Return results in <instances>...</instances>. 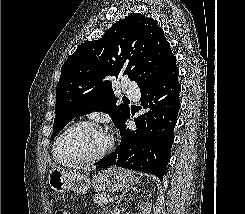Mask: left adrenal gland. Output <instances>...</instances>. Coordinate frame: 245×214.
Instances as JSON below:
<instances>
[{"label": "left adrenal gland", "mask_w": 245, "mask_h": 214, "mask_svg": "<svg viewBox=\"0 0 245 214\" xmlns=\"http://www.w3.org/2000/svg\"><path fill=\"white\" fill-rule=\"evenodd\" d=\"M127 191H128V190L122 192V194H121V195L119 196V198L117 199L116 204H119V203L122 201V199H123L124 195L127 193Z\"/></svg>", "instance_id": "left-adrenal-gland-1"}]
</instances>
